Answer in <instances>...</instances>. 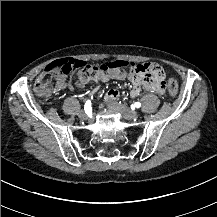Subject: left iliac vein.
Instances as JSON below:
<instances>
[{
	"instance_id": "obj_1",
	"label": "left iliac vein",
	"mask_w": 217,
	"mask_h": 217,
	"mask_svg": "<svg viewBox=\"0 0 217 217\" xmlns=\"http://www.w3.org/2000/svg\"><path fill=\"white\" fill-rule=\"evenodd\" d=\"M107 106L112 111L120 113L127 120L133 119V118H138V116H139L138 112L131 110L124 105H120L114 101L108 102Z\"/></svg>"
}]
</instances>
